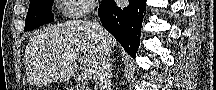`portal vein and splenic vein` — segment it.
Masks as SVG:
<instances>
[{
    "mask_svg": "<svg viewBox=\"0 0 216 90\" xmlns=\"http://www.w3.org/2000/svg\"><path fill=\"white\" fill-rule=\"evenodd\" d=\"M82 78H84V80H86V78H88V74H82Z\"/></svg>",
    "mask_w": 216,
    "mask_h": 90,
    "instance_id": "1",
    "label": "portal vein and splenic vein"
}]
</instances>
